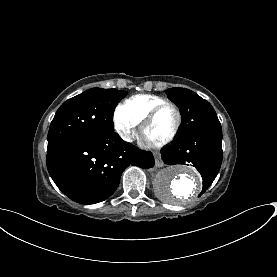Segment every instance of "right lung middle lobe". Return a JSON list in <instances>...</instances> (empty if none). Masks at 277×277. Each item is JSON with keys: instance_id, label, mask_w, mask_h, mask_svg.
Returning a JSON list of instances; mask_svg holds the SVG:
<instances>
[{"instance_id": "obj_1", "label": "right lung middle lobe", "mask_w": 277, "mask_h": 277, "mask_svg": "<svg viewBox=\"0 0 277 277\" xmlns=\"http://www.w3.org/2000/svg\"><path fill=\"white\" fill-rule=\"evenodd\" d=\"M125 96V91L117 89L92 88L65 101L51 122L48 145L73 137L114 133V109Z\"/></svg>"}]
</instances>
